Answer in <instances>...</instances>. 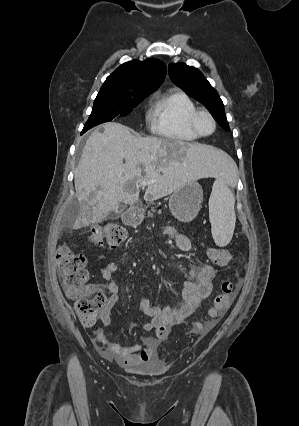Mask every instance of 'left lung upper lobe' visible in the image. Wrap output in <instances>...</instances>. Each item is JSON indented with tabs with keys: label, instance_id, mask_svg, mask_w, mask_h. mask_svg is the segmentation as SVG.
<instances>
[{
	"label": "left lung upper lobe",
	"instance_id": "left-lung-upper-lobe-1",
	"mask_svg": "<svg viewBox=\"0 0 299 426\" xmlns=\"http://www.w3.org/2000/svg\"><path fill=\"white\" fill-rule=\"evenodd\" d=\"M168 71L171 80L178 87L204 104L218 124L230 131L222 100L198 69L179 63L170 64Z\"/></svg>",
	"mask_w": 299,
	"mask_h": 426
}]
</instances>
